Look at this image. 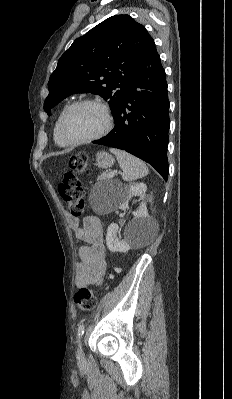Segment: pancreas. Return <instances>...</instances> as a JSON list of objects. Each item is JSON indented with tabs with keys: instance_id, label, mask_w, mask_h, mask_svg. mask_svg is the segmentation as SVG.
<instances>
[{
	"instance_id": "obj_1",
	"label": "pancreas",
	"mask_w": 232,
	"mask_h": 399,
	"mask_svg": "<svg viewBox=\"0 0 232 399\" xmlns=\"http://www.w3.org/2000/svg\"><path fill=\"white\" fill-rule=\"evenodd\" d=\"M113 176H110V172H102L101 176H98L97 180H110Z\"/></svg>"
}]
</instances>
